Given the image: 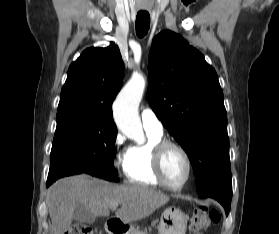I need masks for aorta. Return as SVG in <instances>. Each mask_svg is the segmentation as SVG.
Returning <instances> with one entry per match:
<instances>
[{"label": "aorta", "mask_w": 279, "mask_h": 234, "mask_svg": "<svg viewBox=\"0 0 279 234\" xmlns=\"http://www.w3.org/2000/svg\"><path fill=\"white\" fill-rule=\"evenodd\" d=\"M145 85L146 81L142 74H133L113 104V116L117 127L128 138L138 144L145 142L138 113V107L145 90Z\"/></svg>", "instance_id": "1"}]
</instances>
